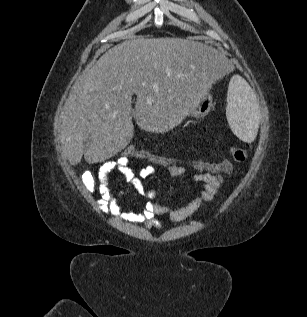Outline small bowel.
<instances>
[{
	"mask_svg": "<svg viewBox=\"0 0 307 317\" xmlns=\"http://www.w3.org/2000/svg\"><path fill=\"white\" fill-rule=\"evenodd\" d=\"M164 170L172 178L187 176L186 169L183 166H170L164 168ZM113 171L123 175L128 182L133 184L140 195L148 199L142 210L123 211L121 209L117 196L111 192L109 187L110 176ZM155 171L156 167L152 165L135 170L130 162L123 159L103 163L97 175V186L100 193V199L97 204L101 211L131 222L146 221L147 227H158L160 224L154 219L155 216L168 214L173 222L182 221L210 202L223 182V176L201 172L194 173L189 176V179L201 186L196 196L181 207L164 206L153 201L157 196V191L154 189L146 190L143 185V179L149 177Z\"/></svg>",
	"mask_w": 307,
	"mask_h": 317,
	"instance_id": "c3829d8e",
	"label": "small bowel"
}]
</instances>
